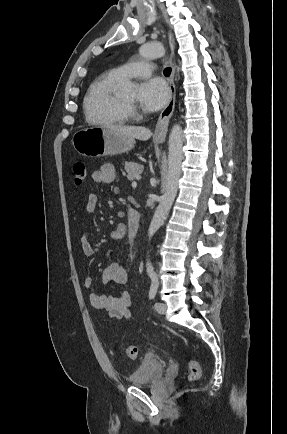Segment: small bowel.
<instances>
[{
	"instance_id": "c3829d8e",
	"label": "small bowel",
	"mask_w": 287,
	"mask_h": 434,
	"mask_svg": "<svg viewBox=\"0 0 287 434\" xmlns=\"http://www.w3.org/2000/svg\"><path fill=\"white\" fill-rule=\"evenodd\" d=\"M91 180L96 185L111 184L116 180V170L112 164L105 163L101 167L92 172ZM99 204L98 196L90 194L85 203V211L87 214H93ZM127 234V228L119 225L112 232L111 236L115 240H121ZM81 249L84 257L90 258L94 255V249L87 237L81 239ZM129 279L126 268L118 261L111 263L103 273V280L108 284H125ZM94 285V280L90 276L83 279V287L91 289ZM91 305L101 311H105L112 318H124L130 314L133 304V298L127 291L121 292L119 295H107L92 292L89 295Z\"/></svg>"
}]
</instances>
